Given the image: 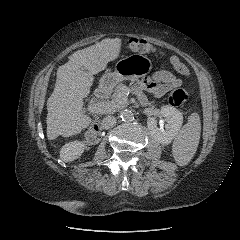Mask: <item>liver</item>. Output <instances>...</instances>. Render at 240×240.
<instances>
[{"mask_svg":"<svg viewBox=\"0 0 240 240\" xmlns=\"http://www.w3.org/2000/svg\"><path fill=\"white\" fill-rule=\"evenodd\" d=\"M121 39L106 38L74 52L67 63L57 69L54 91L47 100V137H70L79 134L91 123L83 111V98L90 93L93 75L106 69L118 58ZM84 67L87 71L81 70Z\"/></svg>","mask_w":240,"mask_h":240,"instance_id":"obj_1","label":"liver"}]
</instances>
